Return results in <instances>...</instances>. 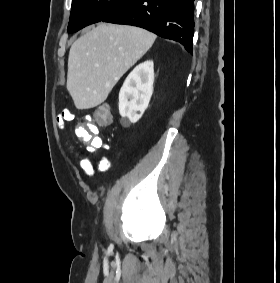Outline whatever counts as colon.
Here are the masks:
<instances>
[{"mask_svg": "<svg viewBox=\"0 0 280 283\" xmlns=\"http://www.w3.org/2000/svg\"><path fill=\"white\" fill-rule=\"evenodd\" d=\"M69 111V110H67ZM84 119H93V114H84ZM96 122L100 124L101 127H109L113 124L112 110L108 107H97L96 108ZM97 127H87L85 124H81L77 127V134L83 138L87 144H91L95 147L102 146V139L94 137L91 132H97Z\"/></svg>", "mask_w": 280, "mask_h": 283, "instance_id": "obj_1", "label": "colon"}]
</instances>
